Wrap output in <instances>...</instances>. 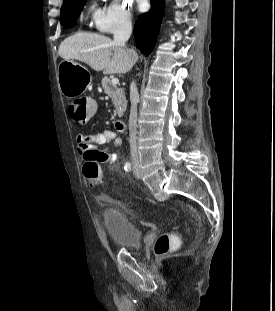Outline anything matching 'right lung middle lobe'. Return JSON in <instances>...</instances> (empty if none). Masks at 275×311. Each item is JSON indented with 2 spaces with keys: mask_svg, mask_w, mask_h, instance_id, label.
<instances>
[{
  "mask_svg": "<svg viewBox=\"0 0 275 311\" xmlns=\"http://www.w3.org/2000/svg\"><path fill=\"white\" fill-rule=\"evenodd\" d=\"M86 0H65L61 7L60 23L65 28H70L76 21L79 13L82 11Z\"/></svg>",
  "mask_w": 275,
  "mask_h": 311,
  "instance_id": "dd1d6c3e",
  "label": "right lung middle lobe"
}]
</instances>
